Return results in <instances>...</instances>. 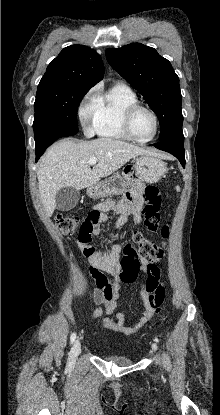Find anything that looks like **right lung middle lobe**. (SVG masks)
Masks as SVG:
<instances>
[{
    "label": "right lung middle lobe",
    "instance_id": "dd1d6c3e",
    "mask_svg": "<svg viewBox=\"0 0 220 415\" xmlns=\"http://www.w3.org/2000/svg\"><path fill=\"white\" fill-rule=\"evenodd\" d=\"M88 91L69 85L38 86L33 122L36 150L47 148L60 137L78 133L77 109Z\"/></svg>",
    "mask_w": 220,
    "mask_h": 415
}]
</instances>
